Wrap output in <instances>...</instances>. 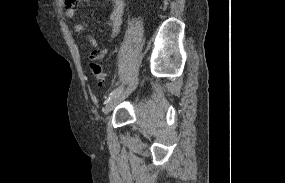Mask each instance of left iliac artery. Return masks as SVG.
<instances>
[{
  "label": "left iliac artery",
  "instance_id": "obj_1",
  "mask_svg": "<svg viewBox=\"0 0 285 183\" xmlns=\"http://www.w3.org/2000/svg\"><path fill=\"white\" fill-rule=\"evenodd\" d=\"M122 89H123L122 86H119V87L113 89L109 94V99L112 98L113 96H115L117 93H119Z\"/></svg>",
  "mask_w": 285,
  "mask_h": 183
}]
</instances>
